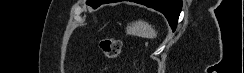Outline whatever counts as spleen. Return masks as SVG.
I'll return each mask as SVG.
<instances>
[{
	"label": "spleen",
	"mask_w": 244,
	"mask_h": 73,
	"mask_svg": "<svg viewBox=\"0 0 244 73\" xmlns=\"http://www.w3.org/2000/svg\"><path fill=\"white\" fill-rule=\"evenodd\" d=\"M126 34L149 39L157 37L155 29L148 22L142 20L130 23L126 27Z\"/></svg>",
	"instance_id": "spleen-1"
}]
</instances>
